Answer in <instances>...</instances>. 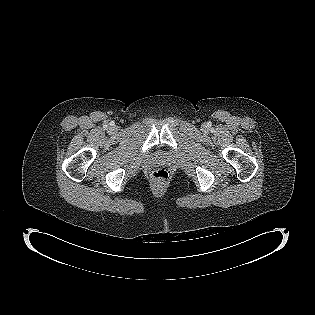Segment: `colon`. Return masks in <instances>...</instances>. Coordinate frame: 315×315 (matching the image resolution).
<instances>
[{
  "label": "colon",
  "instance_id": "obj_1",
  "mask_svg": "<svg viewBox=\"0 0 315 315\" xmlns=\"http://www.w3.org/2000/svg\"><path fill=\"white\" fill-rule=\"evenodd\" d=\"M151 179L156 184H164L169 179V173L165 169H156L152 172Z\"/></svg>",
  "mask_w": 315,
  "mask_h": 315
}]
</instances>
